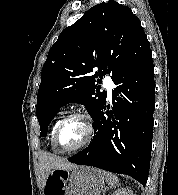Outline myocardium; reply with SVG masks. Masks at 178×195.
<instances>
[{
  "label": "myocardium",
  "mask_w": 178,
  "mask_h": 195,
  "mask_svg": "<svg viewBox=\"0 0 178 195\" xmlns=\"http://www.w3.org/2000/svg\"><path fill=\"white\" fill-rule=\"evenodd\" d=\"M74 119H79V120L83 121V123L86 127L85 138L76 147H73V148H70V149L61 148L58 145L59 132H60L61 128L67 122H69L71 120H74ZM93 134H94V126H93V122H92L91 117L85 112H74V113L69 114L68 116L64 117L63 119H61L59 121V123L57 124V126L54 130V133H53L52 144H53V147L59 152L72 153V152L79 151V150L83 149L84 147H86L90 143V141L92 140Z\"/></svg>",
  "instance_id": "obj_1"
}]
</instances>
